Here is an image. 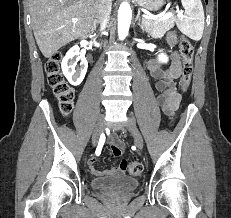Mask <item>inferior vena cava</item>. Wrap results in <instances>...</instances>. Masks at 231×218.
<instances>
[{
    "label": "inferior vena cava",
    "mask_w": 231,
    "mask_h": 218,
    "mask_svg": "<svg viewBox=\"0 0 231 218\" xmlns=\"http://www.w3.org/2000/svg\"><path fill=\"white\" fill-rule=\"evenodd\" d=\"M111 8L112 0H96V20L100 24L101 31L107 26L111 14Z\"/></svg>",
    "instance_id": "obj_1"
}]
</instances>
